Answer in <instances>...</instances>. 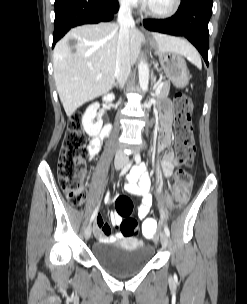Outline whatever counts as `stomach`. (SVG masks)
I'll list each match as a JSON object with an SVG mask.
<instances>
[{
	"label": "stomach",
	"mask_w": 247,
	"mask_h": 304,
	"mask_svg": "<svg viewBox=\"0 0 247 304\" xmlns=\"http://www.w3.org/2000/svg\"><path fill=\"white\" fill-rule=\"evenodd\" d=\"M159 60L166 76L176 87L183 88L188 85L189 71L186 61L180 54L175 52L161 53Z\"/></svg>",
	"instance_id": "1"
}]
</instances>
